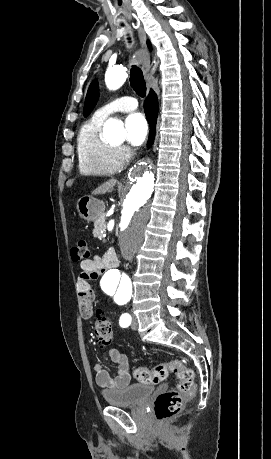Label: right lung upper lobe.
<instances>
[{
  "label": "right lung upper lobe",
  "instance_id": "obj_1",
  "mask_svg": "<svg viewBox=\"0 0 271 459\" xmlns=\"http://www.w3.org/2000/svg\"><path fill=\"white\" fill-rule=\"evenodd\" d=\"M147 43H148V46L150 47V42L148 41Z\"/></svg>",
  "mask_w": 271,
  "mask_h": 459
}]
</instances>
